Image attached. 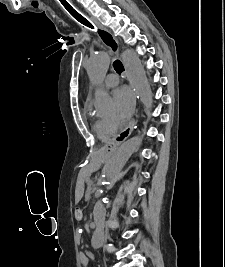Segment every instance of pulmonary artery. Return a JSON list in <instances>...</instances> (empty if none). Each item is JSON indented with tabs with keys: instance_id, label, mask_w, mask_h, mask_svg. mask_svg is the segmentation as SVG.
Here are the masks:
<instances>
[{
	"instance_id": "e3ab8cb5",
	"label": "pulmonary artery",
	"mask_w": 225,
	"mask_h": 267,
	"mask_svg": "<svg viewBox=\"0 0 225 267\" xmlns=\"http://www.w3.org/2000/svg\"><path fill=\"white\" fill-rule=\"evenodd\" d=\"M105 87L111 88L118 84V77L115 74H109L104 81Z\"/></svg>"
}]
</instances>
